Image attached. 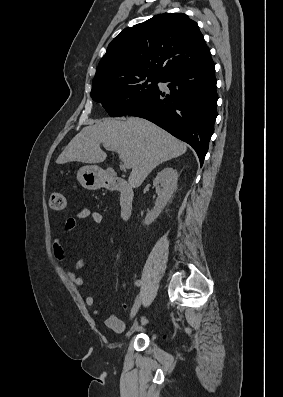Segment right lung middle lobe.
<instances>
[{
    "mask_svg": "<svg viewBox=\"0 0 283 397\" xmlns=\"http://www.w3.org/2000/svg\"><path fill=\"white\" fill-rule=\"evenodd\" d=\"M158 82L162 80L152 76L97 81L93 82L91 97L111 117L124 116L158 92Z\"/></svg>",
    "mask_w": 283,
    "mask_h": 397,
    "instance_id": "dd1d6c3e",
    "label": "right lung middle lobe"
}]
</instances>
